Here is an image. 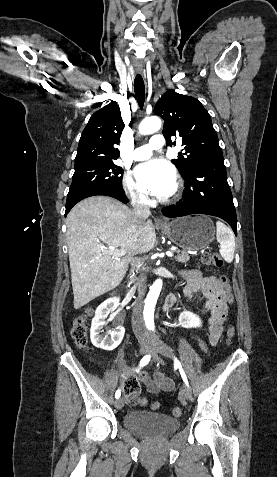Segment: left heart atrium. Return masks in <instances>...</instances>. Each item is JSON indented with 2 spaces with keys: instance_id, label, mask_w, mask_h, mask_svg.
<instances>
[{
  "instance_id": "obj_1",
  "label": "left heart atrium",
  "mask_w": 277,
  "mask_h": 477,
  "mask_svg": "<svg viewBox=\"0 0 277 477\" xmlns=\"http://www.w3.org/2000/svg\"><path fill=\"white\" fill-rule=\"evenodd\" d=\"M135 176L142 188L159 198L168 197L176 187L175 169L165 160L154 159L138 165Z\"/></svg>"
}]
</instances>
